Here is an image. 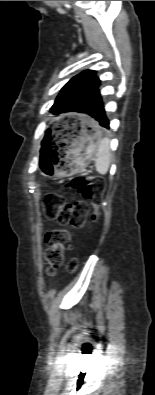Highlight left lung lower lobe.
<instances>
[{
  "label": "left lung lower lobe",
  "instance_id": "0a47b994",
  "mask_svg": "<svg viewBox=\"0 0 155 395\" xmlns=\"http://www.w3.org/2000/svg\"><path fill=\"white\" fill-rule=\"evenodd\" d=\"M81 110V113L93 118L97 127L100 125L102 127L109 128V120L105 115L102 97L98 88L85 99Z\"/></svg>",
  "mask_w": 155,
  "mask_h": 395
}]
</instances>
